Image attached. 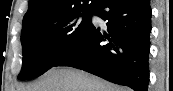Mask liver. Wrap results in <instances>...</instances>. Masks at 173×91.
I'll return each mask as SVG.
<instances>
[{"mask_svg": "<svg viewBox=\"0 0 173 91\" xmlns=\"http://www.w3.org/2000/svg\"><path fill=\"white\" fill-rule=\"evenodd\" d=\"M19 91H130L71 67H54Z\"/></svg>", "mask_w": 173, "mask_h": 91, "instance_id": "6515ba94", "label": "liver"}]
</instances>
